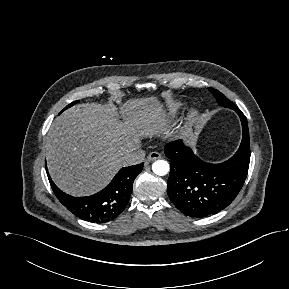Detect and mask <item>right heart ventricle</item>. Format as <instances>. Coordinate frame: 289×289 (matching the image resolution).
Masks as SVG:
<instances>
[{"label": "right heart ventricle", "instance_id": "e07e8e85", "mask_svg": "<svg viewBox=\"0 0 289 289\" xmlns=\"http://www.w3.org/2000/svg\"><path fill=\"white\" fill-rule=\"evenodd\" d=\"M178 107L179 106L177 104L172 105L169 110L170 115H174L177 112Z\"/></svg>", "mask_w": 289, "mask_h": 289}]
</instances>
